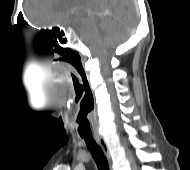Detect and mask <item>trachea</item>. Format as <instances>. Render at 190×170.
Returning a JSON list of instances; mask_svg holds the SVG:
<instances>
[{
  "mask_svg": "<svg viewBox=\"0 0 190 170\" xmlns=\"http://www.w3.org/2000/svg\"><path fill=\"white\" fill-rule=\"evenodd\" d=\"M87 145V148L91 152L96 164L98 170H109V165L107 158L101 149V147L95 142L93 137L91 135H84L81 136Z\"/></svg>",
  "mask_w": 190,
  "mask_h": 170,
  "instance_id": "trachea-1",
  "label": "trachea"
}]
</instances>
